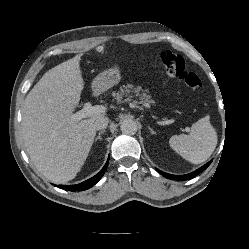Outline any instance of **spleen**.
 Returning <instances> with one entry per match:
<instances>
[{"label":"spleen","mask_w":249,"mask_h":249,"mask_svg":"<svg viewBox=\"0 0 249 249\" xmlns=\"http://www.w3.org/2000/svg\"><path fill=\"white\" fill-rule=\"evenodd\" d=\"M207 115L191 126L189 135L180 134L170 138V147L184 159L200 164L206 161L217 145V133Z\"/></svg>","instance_id":"1"}]
</instances>
